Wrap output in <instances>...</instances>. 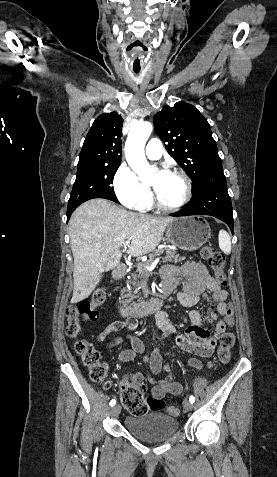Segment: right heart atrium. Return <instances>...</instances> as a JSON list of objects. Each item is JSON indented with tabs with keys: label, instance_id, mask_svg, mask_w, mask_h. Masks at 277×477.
Listing matches in <instances>:
<instances>
[{
	"label": "right heart atrium",
	"instance_id": "d8ad5b80",
	"mask_svg": "<svg viewBox=\"0 0 277 477\" xmlns=\"http://www.w3.org/2000/svg\"><path fill=\"white\" fill-rule=\"evenodd\" d=\"M113 186L118 200L129 209L145 210L151 203L149 188L125 164H121L116 170Z\"/></svg>",
	"mask_w": 277,
	"mask_h": 477
}]
</instances>
